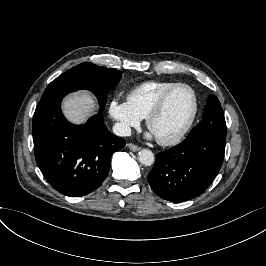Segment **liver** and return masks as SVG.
I'll use <instances>...</instances> for the list:
<instances>
[{
	"mask_svg": "<svg viewBox=\"0 0 266 266\" xmlns=\"http://www.w3.org/2000/svg\"><path fill=\"white\" fill-rule=\"evenodd\" d=\"M63 112L74 124L85 123L96 110V102L89 91H78L68 95L63 101Z\"/></svg>",
	"mask_w": 266,
	"mask_h": 266,
	"instance_id": "liver-1",
	"label": "liver"
}]
</instances>
